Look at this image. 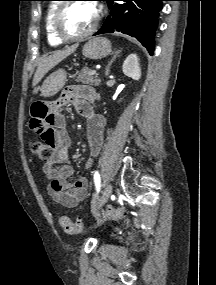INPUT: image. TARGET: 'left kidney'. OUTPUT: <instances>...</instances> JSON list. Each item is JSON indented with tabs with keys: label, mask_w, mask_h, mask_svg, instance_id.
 I'll return each instance as SVG.
<instances>
[{
	"label": "left kidney",
	"mask_w": 216,
	"mask_h": 285,
	"mask_svg": "<svg viewBox=\"0 0 216 285\" xmlns=\"http://www.w3.org/2000/svg\"><path fill=\"white\" fill-rule=\"evenodd\" d=\"M123 73L134 80L141 77V69L139 67V59L136 54H130L124 61L122 67Z\"/></svg>",
	"instance_id": "left-kidney-1"
}]
</instances>
